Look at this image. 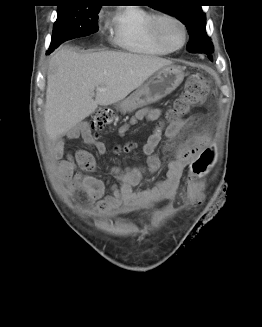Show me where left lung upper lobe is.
I'll return each mask as SVG.
<instances>
[{"instance_id":"5c2ea615","label":"left lung upper lobe","mask_w":262,"mask_h":327,"mask_svg":"<svg viewBox=\"0 0 262 327\" xmlns=\"http://www.w3.org/2000/svg\"><path fill=\"white\" fill-rule=\"evenodd\" d=\"M194 3V0H156L153 8L175 16L186 25L190 35L188 51L211 54L214 49L206 33L205 13L202 6Z\"/></svg>"}]
</instances>
